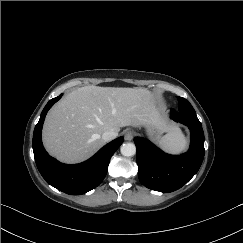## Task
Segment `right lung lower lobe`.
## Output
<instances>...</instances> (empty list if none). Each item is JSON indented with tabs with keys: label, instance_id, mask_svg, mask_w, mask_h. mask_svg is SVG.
Returning <instances> with one entry per match:
<instances>
[{
	"label": "right lung lower lobe",
	"instance_id": "obj_1",
	"mask_svg": "<svg viewBox=\"0 0 243 243\" xmlns=\"http://www.w3.org/2000/svg\"><path fill=\"white\" fill-rule=\"evenodd\" d=\"M62 94L51 99L43 109L33 134V151L37 168L48 184L70 195L84 194L96 188L106 176L110 158L123 143L119 137L101 148L89 160L75 165H66L49 156L45 151L41 132L45 116Z\"/></svg>",
	"mask_w": 243,
	"mask_h": 243
}]
</instances>
